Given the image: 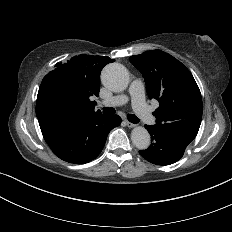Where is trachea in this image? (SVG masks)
Segmentation results:
<instances>
[{
    "label": "trachea",
    "instance_id": "1",
    "mask_svg": "<svg viewBox=\"0 0 232 232\" xmlns=\"http://www.w3.org/2000/svg\"><path fill=\"white\" fill-rule=\"evenodd\" d=\"M102 112L107 115H112L115 113V109L105 107L102 109ZM127 118L133 124H138L140 122V119L137 118L134 114H129Z\"/></svg>",
    "mask_w": 232,
    "mask_h": 232
}]
</instances>
